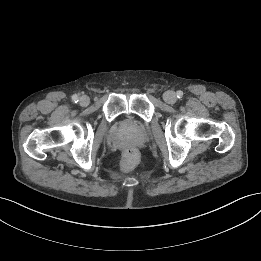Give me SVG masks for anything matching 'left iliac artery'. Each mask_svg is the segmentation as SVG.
<instances>
[{"label": "left iliac artery", "instance_id": "left-iliac-artery-1", "mask_svg": "<svg viewBox=\"0 0 261 261\" xmlns=\"http://www.w3.org/2000/svg\"><path fill=\"white\" fill-rule=\"evenodd\" d=\"M177 97L180 99L183 97V92L182 91H177Z\"/></svg>", "mask_w": 261, "mask_h": 261}]
</instances>
